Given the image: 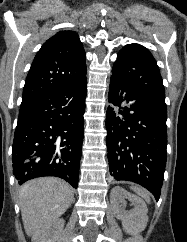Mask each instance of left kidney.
Returning a JSON list of instances; mask_svg holds the SVG:
<instances>
[{
    "instance_id": "left-kidney-1",
    "label": "left kidney",
    "mask_w": 187,
    "mask_h": 242,
    "mask_svg": "<svg viewBox=\"0 0 187 242\" xmlns=\"http://www.w3.org/2000/svg\"><path fill=\"white\" fill-rule=\"evenodd\" d=\"M131 202L133 209L131 212H126L124 207L126 206V201ZM110 202L114 215L117 219L122 221L123 230L128 234H137L142 232L148 222L147 216V206L145 202L129 193L121 187H114L111 190Z\"/></svg>"
}]
</instances>
